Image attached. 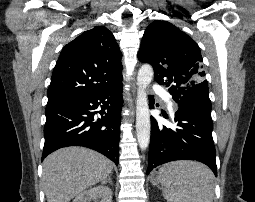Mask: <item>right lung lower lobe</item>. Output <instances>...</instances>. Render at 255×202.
<instances>
[{
	"instance_id": "98d812e1",
	"label": "right lung lower lobe",
	"mask_w": 255,
	"mask_h": 202,
	"mask_svg": "<svg viewBox=\"0 0 255 202\" xmlns=\"http://www.w3.org/2000/svg\"><path fill=\"white\" fill-rule=\"evenodd\" d=\"M122 103L120 82L105 91L47 104L42 159L62 147L84 146L117 164Z\"/></svg>"
}]
</instances>
